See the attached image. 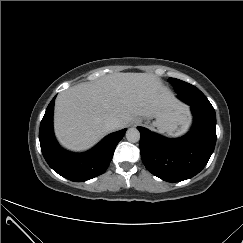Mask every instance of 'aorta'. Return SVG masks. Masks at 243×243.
Returning a JSON list of instances; mask_svg holds the SVG:
<instances>
[{
  "mask_svg": "<svg viewBox=\"0 0 243 243\" xmlns=\"http://www.w3.org/2000/svg\"><path fill=\"white\" fill-rule=\"evenodd\" d=\"M126 139L131 143H136L140 140V132L136 128H129L126 132Z\"/></svg>",
  "mask_w": 243,
  "mask_h": 243,
  "instance_id": "762f6f07",
  "label": "aorta"
}]
</instances>
